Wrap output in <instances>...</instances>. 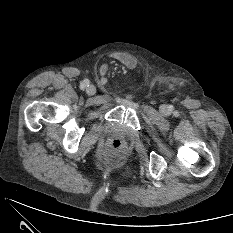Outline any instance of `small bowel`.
Masks as SVG:
<instances>
[{"instance_id":"obj_1","label":"small bowel","mask_w":233,"mask_h":233,"mask_svg":"<svg viewBox=\"0 0 233 233\" xmlns=\"http://www.w3.org/2000/svg\"><path fill=\"white\" fill-rule=\"evenodd\" d=\"M111 57L112 59L119 61L128 68H134L136 66V61L134 57L126 52H121V51L114 52L112 53ZM101 67L102 69L106 70L107 64H103Z\"/></svg>"}]
</instances>
